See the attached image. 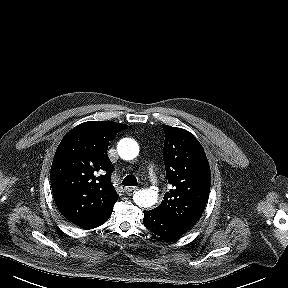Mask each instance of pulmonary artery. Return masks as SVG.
<instances>
[{
    "label": "pulmonary artery",
    "instance_id": "obj_1",
    "mask_svg": "<svg viewBox=\"0 0 288 288\" xmlns=\"http://www.w3.org/2000/svg\"><path fill=\"white\" fill-rule=\"evenodd\" d=\"M148 172H149L150 174H155V173H156V168H155V166H154L153 164H149V166H148Z\"/></svg>",
    "mask_w": 288,
    "mask_h": 288
}]
</instances>
